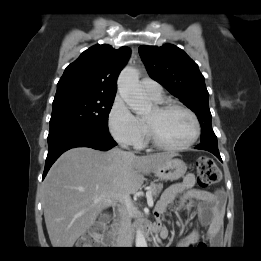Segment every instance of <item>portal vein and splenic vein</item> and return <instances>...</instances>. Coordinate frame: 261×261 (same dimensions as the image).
I'll use <instances>...</instances> for the list:
<instances>
[{"label": "portal vein and splenic vein", "mask_w": 261, "mask_h": 261, "mask_svg": "<svg viewBox=\"0 0 261 261\" xmlns=\"http://www.w3.org/2000/svg\"><path fill=\"white\" fill-rule=\"evenodd\" d=\"M146 196H147L148 206L149 207H153L154 202H153V199H152V194H151V190L150 189L147 190ZM105 197H106L105 195H102V196H99V197H95V201H100V200L104 199Z\"/></svg>", "instance_id": "obj_1"}]
</instances>
